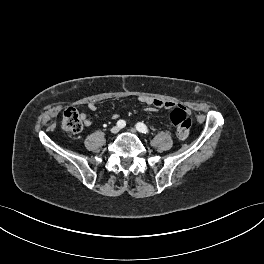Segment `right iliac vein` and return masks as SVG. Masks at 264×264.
<instances>
[{"instance_id":"right-iliac-vein-1","label":"right iliac vein","mask_w":264,"mask_h":264,"mask_svg":"<svg viewBox=\"0 0 264 264\" xmlns=\"http://www.w3.org/2000/svg\"><path fill=\"white\" fill-rule=\"evenodd\" d=\"M119 127L118 126H114V127H112L111 128V133H113V134H117L118 132H119Z\"/></svg>"}]
</instances>
